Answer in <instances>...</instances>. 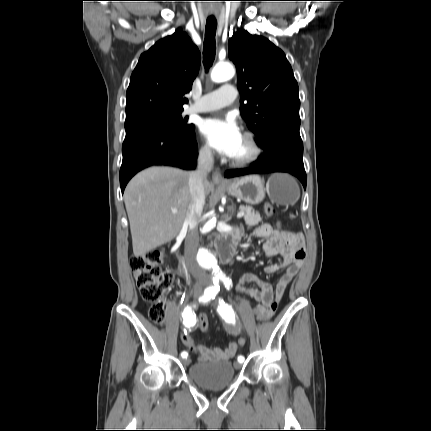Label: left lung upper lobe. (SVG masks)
<instances>
[{
    "mask_svg": "<svg viewBox=\"0 0 431 431\" xmlns=\"http://www.w3.org/2000/svg\"><path fill=\"white\" fill-rule=\"evenodd\" d=\"M228 53L238 72L240 112L258 145L279 136L301 140L299 88L284 52L268 39L240 30L230 38Z\"/></svg>",
    "mask_w": 431,
    "mask_h": 431,
    "instance_id": "1",
    "label": "left lung upper lobe"
}]
</instances>
